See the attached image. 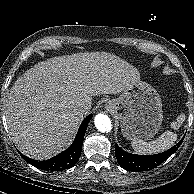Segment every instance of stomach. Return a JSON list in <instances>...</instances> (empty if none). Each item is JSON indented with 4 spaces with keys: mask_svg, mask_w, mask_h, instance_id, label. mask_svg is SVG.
<instances>
[{
    "mask_svg": "<svg viewBox=\"0 0 194 194\" xmlns=\"http://www.w3.org/2000/svg\"><path fill=\"white\" fill-rule=\"evenodd\" d=\"M105 108L119 120L126 139L149 140L160 130L161 98L146 82L138 80L129 84L118 98L107 101Z\"/></svg>",
    "mask_w": 194,
    "mask_h": 194,
    "instance_id": "1",
    "label": "stomach"
}]
</instances>
